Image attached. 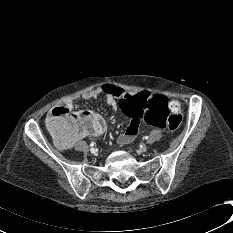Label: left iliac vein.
Here are the masks:
<instances>
[{"label":"left iliac vein","mask_w":233,"mask_h":233,"mask_svg":"<svg viewBox=\"0 0 233 233\" xmlns=\"http://www.w3.org/2000/svg\"><path fill=\"white\" fill-rule=\"evenodd\" d=\"M147 150H148V147L145 144L140 147V151L142 153L146 152Z\"/></svg>","instance_id":"1"}]
</instances>
